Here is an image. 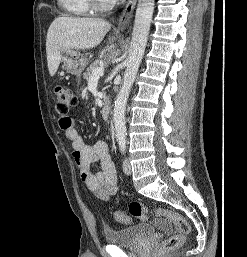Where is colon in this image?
Here are the masks:
<instances>
[{"label":"colon","instance_id":"obj_1","mask_svg":"<svg viewBox=\"0 0 247 257\" xmlns=\"http://www.w3.org/2000/svg\"><path fill=\"white\" fill-rule=\"evenodd\" d=\"M56 98V111L59 118L63 120L64 125L70 124V118L68 116L70 110L77 105V98L73 91L63 85H57L54 89ZM154 214L159 218H164L172 222L176 232L166 238L160 245L161 253H169L177 249L185 240L186 236L190 232V225L186 218L181 214L164 208H155ZM149 208L139 202L133 201L129 205V215L124 212H114L113 217L116 221L128 224L131 222V216L146 220L148 218Z\"/></svg>","mask_w":247,"mask_h":257}]
</instances>
